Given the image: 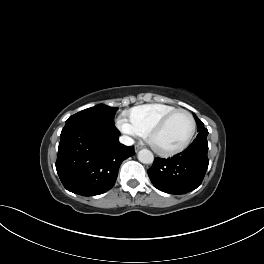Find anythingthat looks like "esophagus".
<instances>
[{
	"instance_id": "1",
	"label": "esophagus",
	"mask_w": 264,
	"mask_h": 264,
	"mask_svg": "<svg viewBox=\"0 0 264 264\" xmlns=\"http://www.w3.org/2000/svg\"><path fill=\"white\" fill-rule=\"evenodd\" d=\"M139 149H141V146L136 145V146H135V151L137 152Z\"/></svg>"
}]
</instances>
